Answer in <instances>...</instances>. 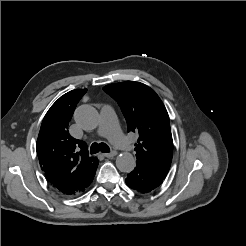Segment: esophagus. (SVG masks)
I'll return each instance as SVG.
<instances>
[{
  "mask_svg": "<svg viewBox=\"0 0 246 246\" xmlns=\"http://www.w3.org/2000/svg\"><path fill=\"white\" fill-rule=\"evenodd\" d=\"M103 155H104L106 158H112V157H114V156L117 155V152H116V151H112V152H110V153H104Z\"/></svg>",
  "mask_w": 246,
  "mask_h": 246,
  "instance_id": "34e87169",
  "label": "esophagus"
}]
</instances>
